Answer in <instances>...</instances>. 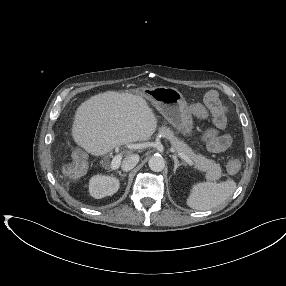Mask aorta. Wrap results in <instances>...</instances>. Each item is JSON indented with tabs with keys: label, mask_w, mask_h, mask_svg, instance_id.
<instances>
[{
	"label": "aorta",
	"mask_w": 286,
	"mask_h": 286,
	"mask_svg": "<svg viewBox=\"0 0 286 286\" xmlns=\"http://www.w3.org/2000/svg\"><path fill=\"white\" fill-rule=\"evenodd\" d=\"M149 168L154 172H160L165 168V160L160 155H154L149 159Z\"/></svg>",
	"instance_id": "762f6f07"
}]
</instances>
